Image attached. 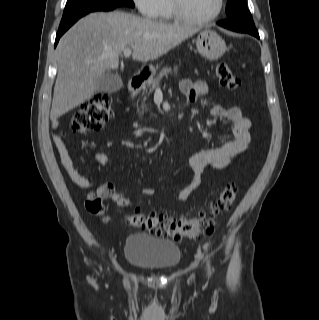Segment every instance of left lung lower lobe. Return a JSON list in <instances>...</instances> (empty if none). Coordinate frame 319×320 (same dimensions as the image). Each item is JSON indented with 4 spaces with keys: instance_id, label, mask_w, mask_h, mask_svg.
Masks as SVG:
<instances>
[{
    "instance_id": "0a47b994",
    "label": "left lung lower lobe",
    "mask_w": 319,
    "mask_h": 320,
    "mask_svg": "<svg viewBox=\"0 0 319 320\" xmlns=\"http://www.w3.org/2000/svg\"><path fill=\"white\" fill-rule=\"evenodd\" d=\"M217 24L232 31L251 34L259 39V34L254 23L238 20H225L220 21Z\"/></svg>"
}]
</instances>
